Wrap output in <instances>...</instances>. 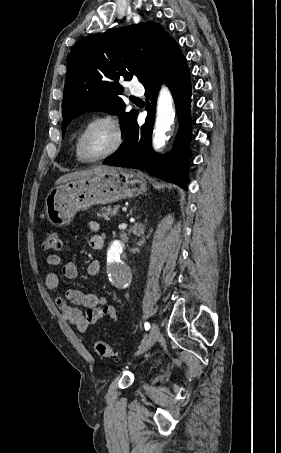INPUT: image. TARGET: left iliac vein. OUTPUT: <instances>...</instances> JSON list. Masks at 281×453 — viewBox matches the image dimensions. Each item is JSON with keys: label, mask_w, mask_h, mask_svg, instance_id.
Returning <instances> with one entry per match:
<instances>
[{"label": "left iliac vein", "mask_w": 281, "mask_h": 453, "mask_svg": "<svg viewBox=\"0 0 281 453\" xmlns=\"http://www.w3.org/2000/svg\"><path fill=\"white\" fill-rule=\"evenodd\" d=\"M158 336H159V330H158V327L156 325H153L151 327V330H150V333H149V336L147 338V341L141 345L140 347V352L136 351V355L138 353H140L141 355L143 354L144 351H147L148 348L153 344L155 343V341H157L158 339Z\"/></svg>", "instance_id": "left-iliac-vein-1"}]
</instances>
